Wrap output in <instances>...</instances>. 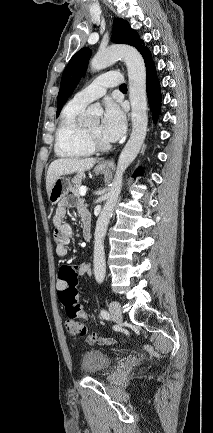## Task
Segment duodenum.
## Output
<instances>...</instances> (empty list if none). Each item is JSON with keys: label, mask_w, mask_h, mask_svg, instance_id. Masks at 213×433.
I'll use <instances>...</instances> for the list:
<instances>
[{"label": "duodenum", "mask_w": 213, "mask_h": 433, "mask_svg": "<svg viewBox=\"0 0 213 433\" xmlns=\"http://www.w3.org/2000/svg\"><path fill=\"white\" fill-rule=\"evenodd\" d=\"M83 235H84V238L87 240V241H90L91 240V238H92V234H91V229H90V226H84V228H83Z\"/></svg>", "instance_id": "410a0bca"}]
</instances>
